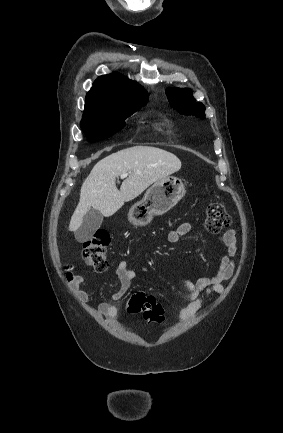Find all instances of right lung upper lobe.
<instances>
[{
	"label": "right lung upper lobe",
	"mask_w": 283,
	"mask_h": 433,
	"mask_svg": "<svg viewBox=\"0 0 283 433\" xmlns=\"http://www.w3.org/2000/svg\"><path fill=\"white\" fill-rule=\"evenodd\" d=\"M85 102L84 112L136 108L148 102V94L137 82L112 73L96 79Z\"/></svg>",
	"instance_id": "obj_1"
}]
</instances>
